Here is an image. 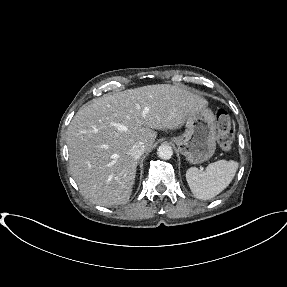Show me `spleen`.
I'll return each mask as SVG.
<instances>
[{
	"label": "spleen",
	"mask_w": 287,
	"mask_h": 287,
	"mask_svg": "<svg viewBox=\"0 0 287 287\" xmlns=\"http://www.w3.org/2000/svg\"><path fill=\"white\" fill-rule=\"evenodd\" d=\"M238 166V162L233 160H218L210 163L204 171L191 167L186 171V180L196 198L209 200L231 183Z\"/></svg>",
	"instance_id": "1"
}]
</instances>
